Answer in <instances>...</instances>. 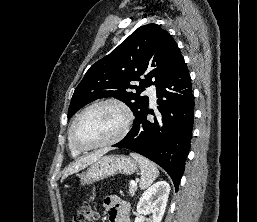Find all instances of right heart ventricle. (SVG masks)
Wrapping results in <instances>:
<instances>
[{"mask_svg":"<svg viewBox=\"0 0 257 222\" xmlns=\"http://www.w3.org/2000/svg\"><path fill=\"white\" fill-rule=\"evenodd\" d=\"M68 146H69V149L71 151V153L74 155V156H77L81 153V151L75 149L72 144L70 143V140H69V135H68Z\"/></svg>","mask_w":257,"mask_h":222,"instance_id":"right-heart-ventricle-1","label":"right heart ventricle"}]
</instances>
